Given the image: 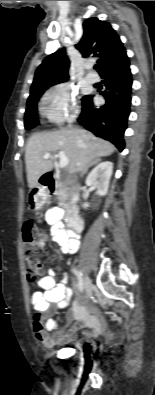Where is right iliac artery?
I'll return each instance as SVG.
<instances>
[{"instance_id":"82829eb1","label":"right iliac artery","mask_w":155,"mask_h":395,"mask_svg":"<svg viewBox=\"0 0 155 395\" xmlns=\"http://www.w3.org/2000/svg\"><path fill=\"white\" fill-rule=\"evenodd\" d=\"M72 271L78 278L77 286H78L79 290L81 292H83L84 291V284H83V280H82V275L75 268H73Z\"/></svg>"}]
</instances>
